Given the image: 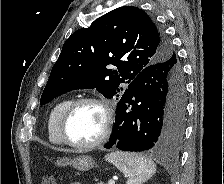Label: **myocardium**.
I'll return each instance as SVG.
<instances>
[{"label":"myocardium","instance_id":"f54148a6","mask_svg":"<svg viewBox=\"0 0 224 184\" xmlns=\"http://www.w3.org/2000/svg\"><path fill=\"white\" fill-rule=\"evenodd\" d=\"M85 103L95 104L99 106L103 111L104 121L102 125V131L96 140L85 144H79L73 142L69 138L67 133V123L74 110L78 106ZM113 124H114V111L112 106L106 99L96 96H82L72 100L64 110L59 122V133L63 143L69 145L70 147L79 150H89L100 146L109 138L113 129Z\"/></svg>","mask_w":224,"mask_h":184}]
</instances>
